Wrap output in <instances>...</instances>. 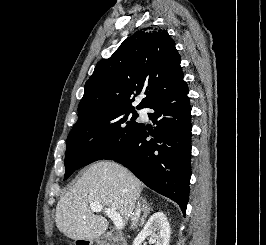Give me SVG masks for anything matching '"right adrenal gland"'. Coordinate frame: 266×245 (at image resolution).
<instances>
[{
	"label": "right adrenal gland",
	"mask_w": 266,
	"mask_h": 245,
	"mask_svg": "<svg viewBox=\"0 0 266 245\" xmlns=\"http://www.w3.org/2000/svg\"><path fill=\"white\" fill-rule=\"evenodd\" d=\"M142 203H143V217H141L140 219L139 227H143L145 219H147L148 217V213H150V211H153L151 205H148L146 199H142Z\"/></svg>",
	"instance_id": "right-adrenal-gland-1"
}]
</instances>
